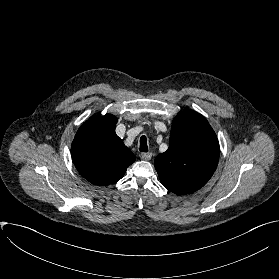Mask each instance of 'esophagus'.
Returning <instances> with one entry per match:
<instances>
[{"mask_svg":"<svg viewBox=\"0 0 279 279\" xmlns=\"http://www.w3.org/2000/svg\"><path fill=\"white\" fill-rule=\"evenodd\" d=\"M140 158L143 159V160H150L152 158V153H150V152L141 153Z\"/></svg>","mask_w":279,"mask_h":279,"instance_id":"esophagus-1","label":"esophagus"}]
</instances>
